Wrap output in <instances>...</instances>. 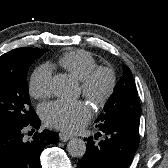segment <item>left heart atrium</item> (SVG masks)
I'll return each mask as SVG.
<instances>
[{
	"label": "left heart atrium",
	"instance_id": "obj_1",
	"mask_svg": "<svg viewBox=\"0 0 168 168\" xmlns=\"http://www.w3.org/2000/svg\"><path fill=\"white\" fill-rule=\"evenodd\" d=\"M43 116L48 126L74 133L89 121L91 110L89 105L82 100H58L45 107Z\"/></svg>",
	"mask_w": 168,
	"mask_h": 168
}]
</instances>
